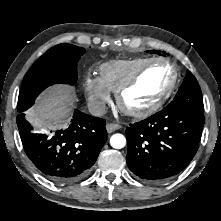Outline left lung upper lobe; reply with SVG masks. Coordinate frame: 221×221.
<instances>
[{
    "label": "left lung upper lobe",
    "mask_w": 221,
    "mask_h": 221,
    "mask_svg": "<svg viewBox=\"0 0 221 221\" xmlns=\"http://www.w3.org/2000/svg\"><path fill=\"white\" fill-rule=\"evenodd\" d=\"M150 52L156 53L154 50ZM170 104L175 109L194 112L199 115L204 114L201 89L196 78L190 71H187L181 88Z\"/></svg>",
    "instance_id": "5c2ea615"
}]
</instances>
